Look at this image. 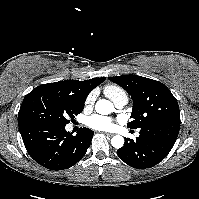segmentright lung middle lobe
<instances>
[{"mask_svg": "<svg viewBox=\"0 0 199 199\" xmlns=\"http://www.w3.org/2000/svg\"><path fill=\"white\" fill-rule=\"evenodd\" d=\"M85 101H73L60 94H51L44 100L25 97L18 114V125H63L69 123L84 109Z\"/></svg>", "mask_w": 199, "mask_h": 199, "instance_id": "obj_1", "label": "right lung middle lobe"}]
</instances>
